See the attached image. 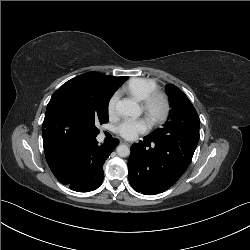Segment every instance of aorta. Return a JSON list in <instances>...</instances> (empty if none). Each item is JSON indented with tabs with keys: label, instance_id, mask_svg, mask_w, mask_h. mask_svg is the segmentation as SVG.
Returning <instances> with one entry per match:
<instances>
[{
	"label": "aorta",
	"instance_id": "obj_1",
	"mask_svg": "<svg viewBox=\"0 0 250 250\" xmlns=\"http://www.w3.org/2000/svg\"><path fill=\"white\" fill-rule=\"evenodd\" d=\"M116 110L127 116H139L141 114L140 106L136 102L129 99L118 101L116 104ZM116 151L120 157H127L130 154L129 147L124 144L117 146Z\"/></svg>",
	"mask_w": 250,
	"mask_h": 250
}]
</instances>
